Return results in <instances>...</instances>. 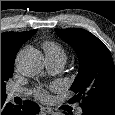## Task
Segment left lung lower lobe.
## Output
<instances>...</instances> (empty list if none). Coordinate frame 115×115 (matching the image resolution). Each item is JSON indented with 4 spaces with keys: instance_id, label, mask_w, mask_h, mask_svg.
Masks as SVG:
<instances>
[{
    "instance_id": "left-lung-lower-lobe-1",
    "label": "left lung lower lobe",
    "mask_w": 115,
    "mask_h": 115,
    "mask_svg": "<svg viewBox=\"0 0 115 115\" xmlns=\"http://www.w3.org/2000/svg\"><path fill=\"white\" fill-rule=\"evenodd\" d=\"M65 114L68 115L67 113H65ZM82 115H100V114H97V113H93V112H90V111L83 110Z\"/></svg>"
}]
</instances>
